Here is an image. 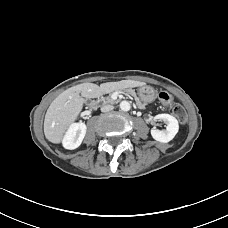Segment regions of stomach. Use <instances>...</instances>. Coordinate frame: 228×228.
<instances>
[{"label":"stomach","instance_id":"obj_1","mask_svg":"<svg viewBox=\"0 0 228 228\" xmlns=\"http://www.w3.org/2000/svg\"><path fill=\"white\" fill-rule=\"evenodd\" d=\"M137 94L144 103H151L156 98L155 90L148 85L140 86L137 90Z\"/></svg>","mask_w":228,"mask_h":228}]
</instances>
